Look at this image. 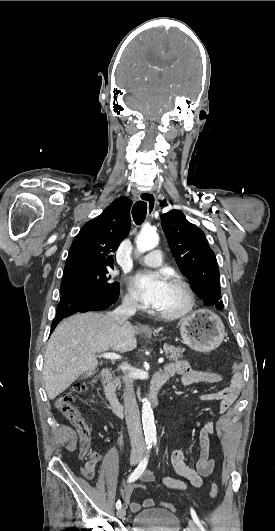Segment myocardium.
Returning a JSON list of instances; mask_svg holds the SVG:
<instances>
[{"label":"myocardium","mask_w":275,"mask_h":531,"mask_svg":"<svg viewBox=\"0 0 275 531\" xmlns=\"http://www.w3.org/2000/svg\"><path fill=\"white\" fill-rule=\"evenodd\" d=\"M171 281L182 290L185 297V304L179 311L171 313H161L155 309L156 314L166 320L181 319L188 315L194 307V294L189 283L177 275H174Z\"/></svg>","instance_id":"1"}]
</instances>
